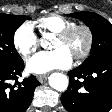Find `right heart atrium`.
I'll return each mask as SVG.
<instances>
[{
	"mask_svg": "<svg viewBox=\"0 0 112 112\" xmlns=\"http://www.w3.org/2000/svg\"><path fill=\"white\" fill-rule=\"evenodd\" d=\"M38 43V36L31 23L25 22L15 30L13 45L22 57L27 58L35 52L38 48Z\"/></svg>",
	"mask_w": 112,
	"mask_h": 112,
	"instance_id": "right-heart-atrium-1",
	"label": "right heart atrium"
}]
</instances>
